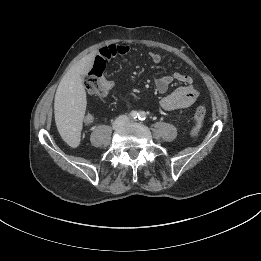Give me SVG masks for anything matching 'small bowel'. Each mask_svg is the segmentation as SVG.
<instances>
[{
	"instance_id": "small-bowel-1",
	"label": "small bowel",
	"mask_w": 261,
	"mask_h": 261,
	"mask_svg": "<svg viewBox=\"0 0 261 261\" xmlns=\"http://www.w3.org/2000/svg\"><path fill=\"white\" fill-rule=\"evenodd\" d=\"M130 47L127 44H109L100 48L96 60L102 61L106 64V61L118 57L125 56L129 53ZM150 60L159 65L162 62V57L156 52L149 53ZM178 81L182 85L177 87L174 91L168 92L170 85ZM109 90L114 88L113 82L106 80ZM155 86L159 93L163 94L160 100V106L167 111H173L178 109H184L192 106L199 97V91L192 84V78L186 74L175 72L170 75H163L155 80ZM94 121L92 114H86L83 118L85 125H90Z\"/></svg>"
}]
</instances>
